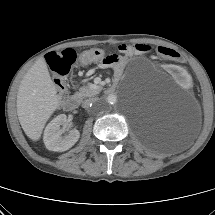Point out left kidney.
<instances>
[{
    "instance_id": "left-kidney-1",
    "label": "left kidney",
    "mask_w": 215,
    "mask_h": 215,
    "mask_svg": "<svg viewBox=\"0 0 215 215\" xmlns=\"http://www.w3.org/2000/svg\"><path fill=\"white\" fill-rule=\"evenodd\" d=\"M171 75L187 89H192L196 85V80L188 75L180 66H172L170 68Z\"/></svg>"
}]
</instances>
